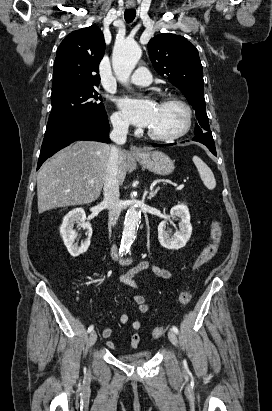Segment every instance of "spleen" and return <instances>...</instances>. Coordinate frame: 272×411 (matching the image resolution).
<instances>
[{
  "mask_svg": "<svg viewBox=\"0 0 272 411\" xmlns=\"http://www.w3.org/2000/svg\"><path fill=\"white\" fill-rule=\"evenodd\" d=\"M193 162L199 172L200 178L203 181L204 185L209 190L214 189L216 187V180L214 178L212 170L198 156L193 157Z\"/></svg>",
  "mask_w": 272,
  "mask_h": 411,
  "instance_id": "spleen-1",
  "label": "spleen"
}]
</instances>
